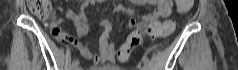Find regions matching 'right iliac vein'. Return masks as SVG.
Here are the masks:
<instances>
[{
  "label": "right iliac vein",
  "mask_w": 238,
  "mask_h": 70,
  "mask_svg": "<svg viewBox=\"0 0 238 70\" xmlns=\"http://www.w3.org/2000/svg\"><path fill=\"white\" fill-rule=\"evenodd\" d=\"M73 70H80V68L77 66V67H73Z\"/></svg>",
  "instance_id": "1"
}]
</instances>
